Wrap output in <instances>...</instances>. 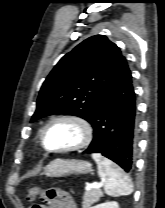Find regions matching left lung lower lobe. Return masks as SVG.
Instances as JSON below:
<instances>
[{"label":"left lung lower lobe","mask_w":165,"mask_h":208,"mask_svg":"<svg viewBox=\"0 0 165 208\" xmlns=\"http://www.w3.org/2000/svg\"><path fill=\"white\" fill-rule=\"evenodd\" d=\"M91 124L93 140L84 152L101 153L126 172H131L138 121L132 76L127 63L99 103Z\"/></svg>","instance_id":"0a47b994"}]
</instances>
